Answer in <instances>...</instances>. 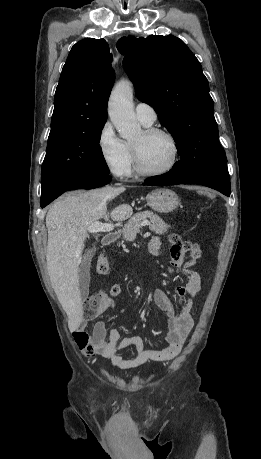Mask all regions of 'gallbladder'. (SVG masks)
Segmentation results:
<instances>
[{
    "label": "gallbladder",
    "instance_id": "obj_1",
    "mask_svg": "<svg viewBox=\"0 0 261 459\" xmlns=\"http://www.w3.org/2000/svg\"><path fill=\"white\" fill-rule=\"evenodd\" d=\"M93 250H89L83 257L79 266L78 277H79V288L81 298L85 299L89 294L90 284V265L93 257Z\"/></svg>",
    "mask_w": 261,
    "mask_h": 459
}]
</instances>
